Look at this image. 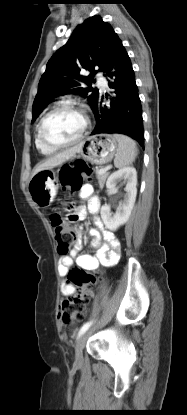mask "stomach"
<instances>
[{
  "label": "stomach",
  "mask_w": 187,
  "mask_h": 415,
  "mask_svg": "<svg viewBox=\"0 0 187 415\" xmlns=\"http://www.w3.org/2000/svg\"><path fill=\"white\" fill-rule=\"evenodd\" d=\"M118 144L113 135L98 134L82 142L78 156L91 164H107L117 153ZM56 174L52 169L40 171L33 175L28 184V191L36 205L44 207L49 205L56 195Z\"/></svg>",
  "instance_id": "1"
}]
</instances>
